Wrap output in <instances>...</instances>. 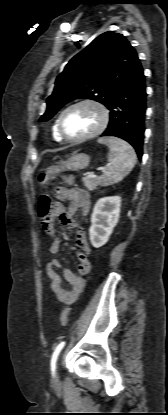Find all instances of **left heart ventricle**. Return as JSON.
I'll list each match as a JSON object with an SVG mask.
<instances>
[{
	"label": "left heart ventricle",
	"mask_w": 168,
	"mask_h": 415,
	"mask_svg": "<svg viewBox=\"0 0 168 415\" xmlns=\"http://www.w3.org/2000/svg\"><path fill=\"white\" fill-rule=\"evenodd\" d=\"M100 122V114L90 105L69 110L63 118V129L69 137H81L92 132Z\"/></svg>",
	"instance_id": "b2bd125f"
}]
</instances>
